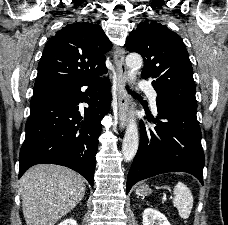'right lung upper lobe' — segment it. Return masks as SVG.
I'll return each instance as SVG.
<instances>
[{"instance_id":"obj_1","label":"right lung upper lobe","mask_w":228,"mask_h":225,"mask_svg":"<svg viewBox=\"0 0 228 225\" xmlns=\"http://www.w3.org/2000/svg\"><path fill=\"white\" fill-rule=\"evenodd\" d=\"M112 43L101 26L89 21L68 24L46 43L34 89L67 88L107 71L105 53Z\"/></svg>"}]
</instances>
